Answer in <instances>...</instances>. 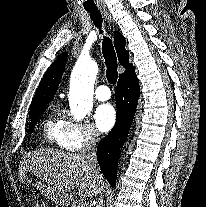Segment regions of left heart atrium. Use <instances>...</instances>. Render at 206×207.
Returning <instances> with one entry per match:
<instances>
[{"instance_id": "left-heart-atrium-1", "label": "left heart atrium", "mask_w": 206, "mask_h": 207, "mask_svg": "<svg viewBox=\"0 0 206 207\" xmlns=\"http://www.w3.org/2000/svg\"><path fill=\"white\" fill-rule=\"evenodd\" d=\"M94 121L101 132L109 131L115 124L116 112L112 105H100L94 114Z\"/></svg>"}]
</instances>
